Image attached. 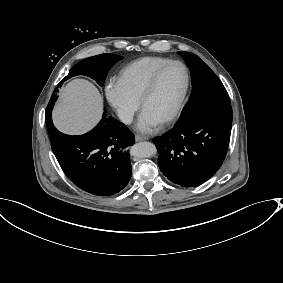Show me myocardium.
<instances>
[{"label":"myocardium","mask_w":283,"mask_h":283,"mask_svg":"<svg viewBox=\"0 0 283 283\" xmlns=\"http://www.w3.org/2000/svg\"><path fill=\"white\" fill-rule=\"evenodd\" d=\"M174 64H179L183 67L184 71H185V85H184V89L177 101V104L175 106V108L166 116L164 117L162 120H160V123H167L172 121L173 119H175L177 117V115L180 113V111L182 110L184 101L186 99V96L188 94L189 88H190V83H191V74H190V70L188 68V66L180 60H171L165 64H163L162 66H160L159 68H157L147 79L144 88L141 92V95L139 97V106L142 108V105L144 103V101L151 95V93L153 92V89L159 79V77L163 74V72L170 67L171 65Z\"/></svg>","instance_id":"obj_1"}]
</instances>
